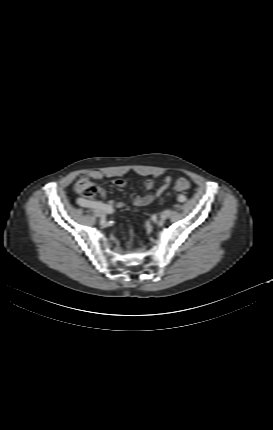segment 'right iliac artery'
Returning a JSON list of instances; mask_svg holds the SVG:
<instances>
[{
    "label": "right iliac artery",
    "mask_w": 273,
    "mask_h": 430,
    "mask_svg": "<svg viewBox=\"0 0 273 430\" xmlns=\"http://www.w3.org/2000/svg\"><path fill=\"white\" fill-rule=\"evenodd\" d=\"M77 203H80L81 206H91L94 209H100L105 213H113L114 210L112 209V207L103 204V203H98V202H93V201H87V200H83L81 198H77Z\"/></svg>",
    "instance_id": "right-iliac-artery-1"
}]
</instances>
